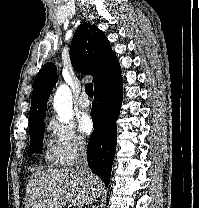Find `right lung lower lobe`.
<instances>
[{
  "label": "right lung lower lobe",
  "instance_id": "right-lung-lower-lobe-1",
  "mask_svg": "<svg viewBox=\"0 0 199 208\" xmlns=\"http://www.w3.org/2000/svg\"><path fill=\"white\" fill-rule=\"evenodd\" d=\"M122 77L94 90L91 115L94 131L87 147L91 170L108 185L115 155L117 127L123 91Z\"/></svg>",
  "mask_w": 199,
  "mask_h": 208
}]
</instances>
